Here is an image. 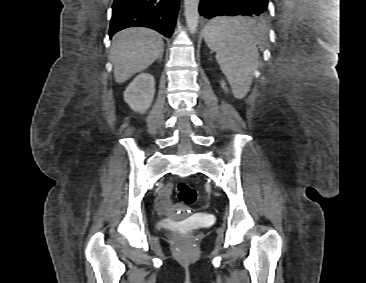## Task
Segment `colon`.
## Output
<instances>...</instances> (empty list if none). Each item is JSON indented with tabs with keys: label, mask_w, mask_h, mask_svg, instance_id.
<instances>
[{
	"label": "colon",
	"mask_w": 366,
	"mask_h": 283,
	"mask_svg": "<svg viewBox=\"0 0 366 283\" xmlns=\"http://www.w3.org/2000/svg\"><path fill=\"white\" fill-rule=\"evenodd\" d=\"M176 195L179 201L191 205L196 201L197 192L195 188L186 182H179L176 186Z\"/></svg>",
	"instance_id": "colon-1"
}]
</instances>
